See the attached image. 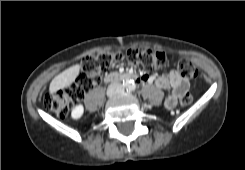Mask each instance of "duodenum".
Wrapping results in <instances>:
<instances>
[{
	"mask_svg": "<svg viewBox=\"0 0 245 170\" xmlns=\"http://www.w3.org/2000/svg\"><path fill=\"white\" fill-rule=\"evenodd\" d=\"M134 79L140 81V78L134 74H109L106 77L107 82H116L121 79Z\"/></svg>",
	"mask_w": 245,
	"mask_h": 170,
	"instance_id": "1",
	"label": "duodenum"
}]
</instances>
